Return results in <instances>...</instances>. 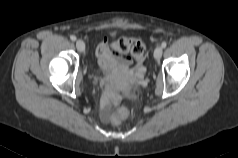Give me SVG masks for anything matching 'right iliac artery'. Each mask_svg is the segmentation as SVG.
<instances>
[{"mask_svg":"<svg viewBox=\"0 0 238 158\" xmlns=\"http://www.w3.org/2000/svg\"><path fill=\"white\" fill-rule=\"evenodd\" d=\"M70 39H71L72 41H76V36L72 35V36L70 37Z\"/></svg>","mask_w":238,"mask_h":158,"instance_id":"right-iliac-artery-1","label":"right iliac artery"}]
</instances>
